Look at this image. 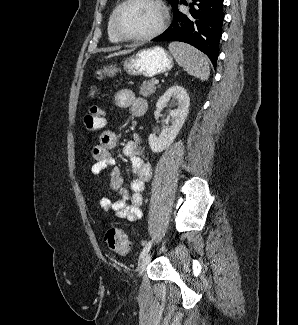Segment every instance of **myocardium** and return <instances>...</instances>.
Listing matches in <instances>:
<instances>
[{"label":"myocardium","instance_id":"1","mask_svg":"<svg viewBox=\"0 0 298 325\" xmlns=\"http://www.w3.org/2000/svg\"><path fill=\"white\" fill-rule=\"evenodd\" d=\"M133 3H146V4L150 5L151 7H153L158 15L157 26L149 33L139 36V37H127L120 31V29L118 27V19H119L120 14L122 13V11L124 10L125 7H127L128 5L133 4ZM165 24H166L165 11H164L163 7L161 6V4L157 0H126L117 7V9L114 13L113 19H112L113 32L116 35V37L121 42H124V43H141V42L150 41L153 38H155L156 36H158L163 31Z\"/></svg>","mask_w":298,"mask_h":325}]
</instances>
